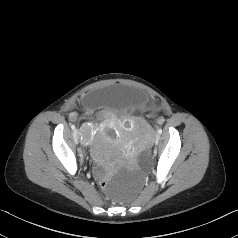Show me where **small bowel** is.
I'll return each mask as SVG.
<instances>
[{"mask_svg":"<svg viewBox=\"0 0 238 238\" xmlns=\"http://www.w3.org/2000/svg\"><path fill=\"white\" fill-rule=\"evenodd\" d=\"M70 118L75 119L76 118L75 114H71Z\"/></svg>","mask_w":238,"mask_h":238,"instance_id":"obj_1","label":"small bowel"}]
</instances>
